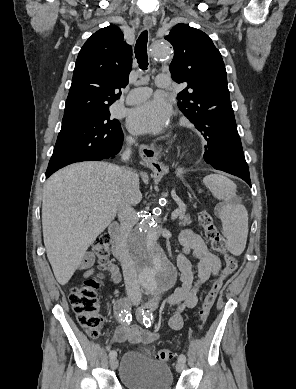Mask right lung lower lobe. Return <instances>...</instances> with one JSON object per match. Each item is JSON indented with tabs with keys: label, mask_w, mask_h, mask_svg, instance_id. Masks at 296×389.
<instances>
[{
	"label": "right lung lower lobe",
	"mask_w": 296,
	"mask_h": 389,
	"mask_svg": "<svg viewBox=\"0 0 296 389\" xmlns=\"http://www.w3.org/2000/svg\"><path fill=\"white\" fill-rule=\"evenodd\" d=\"M121 146L122 144L120 145V147H118L117 149L115 150H112V151H104L103 153H99V154H93V156H89L85 159H83L82 161H100V160H103V159H109V158H112L114 157L121 149ZM80 162V161H78ZM64 166H59V167H54V168H47V171H46V177H49L52 173H54L55 171H57L58 169L62 168Z\"/></svg>",
	"instance_id": "obj_1"
}]
</instances>
